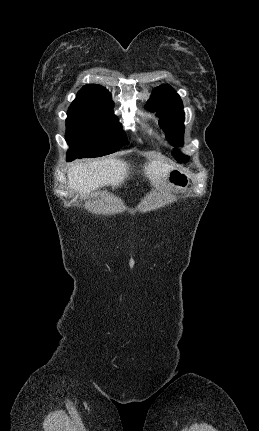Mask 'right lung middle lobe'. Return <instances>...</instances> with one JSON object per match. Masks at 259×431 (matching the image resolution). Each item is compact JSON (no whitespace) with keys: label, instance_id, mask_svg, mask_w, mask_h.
Instances as JSON below:
<instances>
[{"label":"right lung middle lobe","instance_id":"right-lung-middle-lobe-1","mask_svg":"<svg viewBox=\"0 0 259 431\" xmlns=\"http://www.w3.org/2000/svg\"><path fill=\"white\" fill-rule=\"evenodd\" d=\"M112 109L111 97L100 102H72L66 119L68 158L100 157L125 144L127 138Z\"/></svg>","mask_w":259,"mask_h":431}]
</instances>
